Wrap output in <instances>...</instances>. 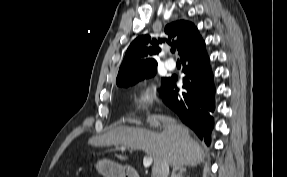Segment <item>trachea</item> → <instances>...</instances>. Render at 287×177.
<instances>
[{
    "instance_id": "obj_1",
    "label": "trachea",
    "mask_w": 287,
    "mask_h": 177,
    "mask_svg": "<svg viewBox=\"0 0 287 177\" xmlns=\"http://www.w3.org/2000/svg\"><path fill=\"white\" fill-rule=\"evenodd\" d=\"M171 52L175 53V47H172Z\"/></svg>"
}]
</instances>
